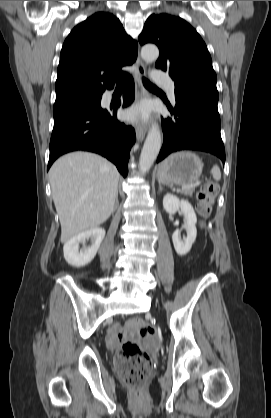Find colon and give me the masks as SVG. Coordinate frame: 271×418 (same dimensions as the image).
Returning a JSON list of instances; mask_svg holds the SVG:
<instances>
[{
    "instance_id": "1",
    "label": "colon",
    "mask_w": 271,
    "mask_h": 418,
    "mask_svg": "<svg viewBox=\"0 0 271 418\" xmlns=\"http://www.w3.org/2000/svg\"><path fill=\"white\" fill-rule=\"evenodd\" d=\"M218 192V186L209 181L206 182L197 194L198 212L201 217L210 215L214 199ZM140 327V335L144 338L155 335V329L136 321ZM115 367L121 378L129 385L132 391L139 395L142 393L149 377L152 360L148 353L132 342L125 343L116 353Z\"/></svg>"
}]
</instances>
